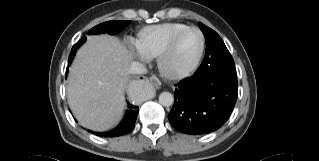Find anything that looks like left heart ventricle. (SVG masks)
Instances as JSON below:
<instances>
[{"instance_id": "b2bd125f", "label": "left heart ventricle", "mask_w": 319, "mask_h": 161, "mask_svg": "<svg viewBox=\"0 0 319 161\" xmlns=\"http://www.w3.org/2000/svg\"><path fill=\"white\" fill-rule=\"evenodd\" d=\"M200 47V36L195 30L185 32L176 42L168 64L173 69H184L196 58Z\"/></svg>"}]
</instances>
